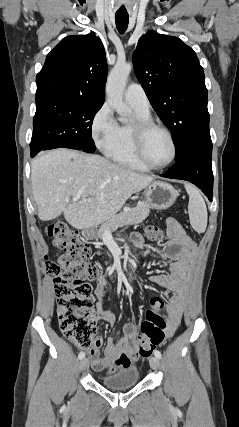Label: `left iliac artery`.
<instances>
[{
  "label": "left iliac artery",
  "instance_id": "left-iliac-artery-1",
  "mask_svg": "<svg viewBox=\"0 0 239 427\" xmlns=\"http://www.w3.org/2000/svg\"><path fill=\"white\" fill-rule=\"evenodd\" d=\"M154 355H155L158 359H161V357H162L161 352H160V351H158V350H156V351L154 352Z\"/></svg>",
  "mask_w": 239,
  "mask_h": 427
}]
</instances>
